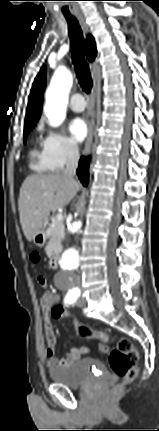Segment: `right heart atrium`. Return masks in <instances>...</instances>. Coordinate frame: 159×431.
I'll return each mask as SVG.
<instances>
[{"label":"right heart atrium","instance_id":"d8ad5b80","mask_svg":"<svg viewBox=\"0 0 159 431\" xmlns=\"http://www.w3.org/2000/svg\"><path fill=\"white\" fill-rule=\"evenodd\" d=\"M43 132L41 140L42 157L51 171H60L78 157L76 145L63 134L40 127Z\"/></svg>","mask_w":159,"mask_h":431}]
</instances>
